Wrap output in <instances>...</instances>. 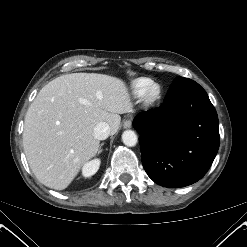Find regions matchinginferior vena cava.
Returning <instances> with one entry per match:
<instances>
[{"label":"inferior vena cava","mask_w":247,"mask_h":247,"mask_svg":"<svg viewBox=\"0 0 247 247\" xmlns=\"http://www.w3.org/2000/svg\"><path fill=\"white\" fill-rule=\"evenodd\" d=\"M93 133L97 140H105L110 134L109 125L105 122H100L95 126Z\"/></svg>","instance_id":"obj_1"}]
</instances>
